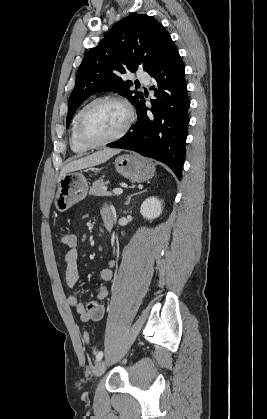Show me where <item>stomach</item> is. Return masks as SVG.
<instances>
[{
	"label": "stomach",
	"mask_w": 267,
	"mask_h": 419,
	"mask_svg": "<svg viewBox=\"0 0 267 419\" xmlns=\"http://www.w3.org/2000/svg\"><path fill=\"white\" fill-rule=\"evenodd\" d=\"M116 171L132 182H144L152 178L155 168L147 159L136 154H125L115 159ZM88 192V182L81 172H68L58 180L54 198L57 211L65 212L83 200Z\"/></svg>",
	"instance_id": "obj_1"
}]
</instances>
